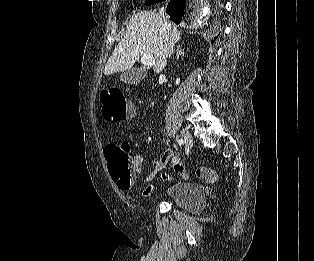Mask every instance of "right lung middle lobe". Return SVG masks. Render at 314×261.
<instances>
[{
	"mask_svg": "<svg viewBox=\"0 0 314 261\" xmlns=\"http://www.w3.org/2000/svg\"><path fill=\"white\" fill-rule=\"evenodd\" d=\"M162 0H147L146 1V4L147 5H152V4H156V3H159L161 2Z\"/></svg>",
	"mask_w": 314,
	"mask_h": 261,
	"instance_id": "dd1d6c3e",
	"label": "right lung middle lobe"
}]
</instances>
